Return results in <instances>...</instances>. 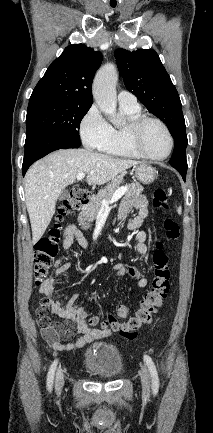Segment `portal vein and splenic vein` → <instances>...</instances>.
Returning <instances> with one entry per match:
<instances>
[{
    "instance_id": "1",
    "label": "portal vein and splenic vein",
    "mask_w": 213,
    "mask_h": 433,
    "mask_svg": "<svg viewBox=\"0 0 213 433\" xmlns=\"http://www.w3.org/2000/svg\"><path fill=\"white\" fill-rule=\"evenodd\" d=\"M85 177V173H79L77 175V180L81 181L83 178ZM127 191L126 187H120L118 188L115 193L113 194L112 198L107 201V200H103L102 201V207L103 208H108V206L116 201H118Z\"/></svg>"
}]
</instances>
